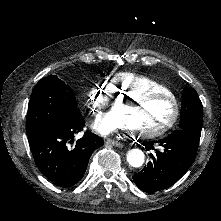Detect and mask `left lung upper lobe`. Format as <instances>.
Listing matches in <instances>:
<instances>
[{"instance_id": "left-lung-upper-lobe-1", "label": "left lung upper lobe", "mask_w": 221, "mask_h": 221, "mask_svg": "<svg viewBox=\"0 0 221 221\" xmlns=\"http://www.w3.org/2000/svg\"><path fill=\"white\" fill-rule=\"evenodd\" d=\"M203 106L194 89L185 88L182 96L180 129L201 134Z\"/></svg>"}]
</instances>
